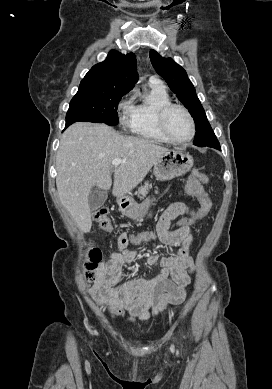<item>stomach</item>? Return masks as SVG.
Returning <instances> with one entry per match:
<instances>
[{
    "mask_svg": "<svg viewBox=\"0 0 272 389\" xmlns=\"http://www.w3.org/2000/svg\"><path fill=\"white\" fill-rule=\"evenodd\" d=\"M193 164V157L188 153L179 150H169L156 161L153 172L158 180L166 181L185 175L190 171ZM151 203L152 200L146 199L143 203L138 204L133 199L125 196L118 200L122 214L131 219L144 217Z\"/></svg>",
    "mask_w": 272,
    "mask_h": 389,
    "instance_id": "stomach-1",
    "label": "stomach"
}]
</instances>
